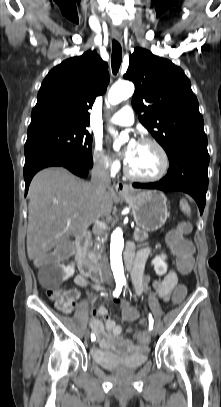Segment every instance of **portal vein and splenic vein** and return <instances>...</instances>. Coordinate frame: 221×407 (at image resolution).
<instances>
[{
  "label": "portal vein and splenic vein",
  "instance_id": "obj_1",
  "mask_svg": "<svg viewBox=\"0 0 221 407\" xmlns=\"http://www.w3.org/2000/svg\"><path fill=\"white\" fill-rule=\"evenodd\" d=\"M68 222H70V220H68ZM94 222H95V225H97L100 229L107 228L106 224L100 220H94ZM135 231H139V228H135Z\"/></svg>",
  "mask_w": 221,
  "mask_h": 407
}]
</instances>
